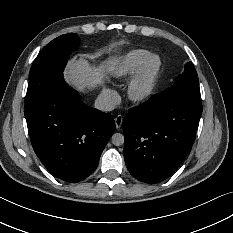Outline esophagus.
<instances>
[{
	"mask_svg": "<svg viewBox=\"0 0 233 233\" xmlns=\"http://www.w3.org/2000/svg\"><path fill=\"white\" fill-rule=\"evenodd\" d=\"M122 121H123L122 115H117L115 118V125H116L117 129H119L121 127Z\"/></svg>",
	"mask_w": 233,
	"mask_h": 233,
	"instance_id": "1",
	"label": "esophagus"
}]
</instances>
